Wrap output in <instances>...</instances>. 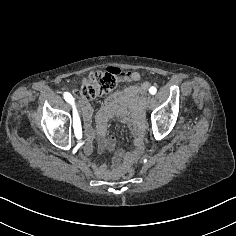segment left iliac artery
Returning <instances> with one entry per match:
<instances>
[{
    "label": "left iliac artery",
    "mask_w": 236,
    "mask_h": 236,
    "mask_svg": "<svg viewBox=\"0 0 236 236\" xmlns=\"http://www.w3.org/2000/svg\"><path fill=\"white\" fill-rule=\"evenodd\" d=\"M157 89L155 87H150L149 92L154 95L156 93Z\"/></svg>",
    "instance_id": "obj_1"
}]
</instances>
